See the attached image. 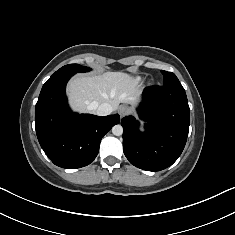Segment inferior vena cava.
Here are the masks:
<instances>
[{
  "label": "inferior vena cava",
  "mask_w": 235,
  "mask_h": 235,
  "mask_svg": "<svg viewBox=\"0 0 235 235\" xmlns=\"http://www.w3.org/2000/svg\"><path fill=\"white\" fill-rule=\"evenodd\" d=\"M91 109H95L96 114L99 116H106L110 115L113 112V108L108 103H103L98 107H95L93 104L90 106Z\"/></svg>",
  "instance_id": "obj_1"
}]
</instances>
